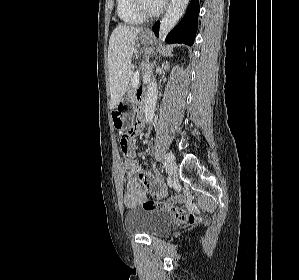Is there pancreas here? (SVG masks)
<instances>
[{
    "label": "pancreas",
    "instance_id": "cf45deb5",
    "mask_svg": "<svg viewBox=\"0 0 299 280\" xmlns=\"http://www.w3.org/2000/svg\"><path fill=\"white\" fill-rule=\"evenodd\" d=\"M133 77H134V74L131 75V80H130L129 88H128V93L129 94H132L133 90H134V87H133Z\"/></svg>",
    "mask_w": 299,
    "mask_h": 280
}]
</instances>
